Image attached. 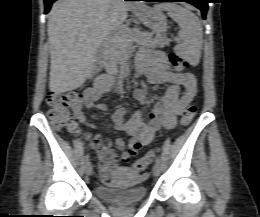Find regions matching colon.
Masks as SVG:
<instances>
[{
    "instance_id": "obj_1",
    "label": "colon",
    "mask_w": 260,
    "mask_h": 217,
    "mask_svg": "<svg viewBox=\"0 0 260 217\" xmlns=\"http://www.w3.org/2000/svg\"><path fill=\"white\" fill-rule=\"evenodd\" d=\"M170 64L176 70H183L186 67V61L176 53H171L168 57ZM85 95L78 92H65V93H50L47 97V103L50 107L48 117L57 130L69 132L74 135L80 133L78 124L70 114V108L75 105L83 104ZM196 106L189 105L182 113L181 126H188L195 117ZM91 143L94 147L101 148L103 152L109 149L110 144L102 141L98 136L91 138ZM126 156L130 155V151H125ZM155 158V152H150L143 158L134 163V169L143 171ZM100 163V167H101Z\"/></svg>"
}]
</instances>
